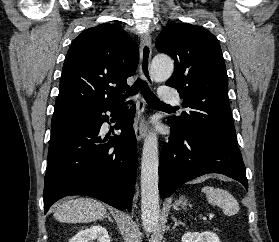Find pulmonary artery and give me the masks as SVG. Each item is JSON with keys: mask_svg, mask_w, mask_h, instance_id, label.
Instances as JSON below:
<instances>
[{"mask_svg": "<svg viewBox=\"0 0 279 242\" xmlns=\"http://www.w3.org/2000/svg\"><path fill=\"white\" fill-rule=\"evenodd\" d=\"M160 99L168 104L178 105L180 103V96L170 86H161L159 90Z\"/></svg>", "mask_w": 279, "mask_h": 242, "instance_id": "obj_1", "label": "pulmonary artery"}]
</instances>
